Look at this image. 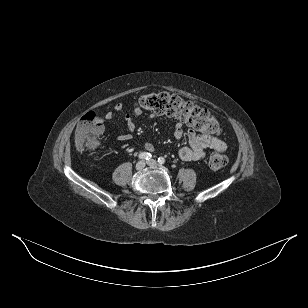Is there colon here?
<instances>
[{"label":"colon","instance_id":"1","mask_svg":"<svg viewBox=\"0 0 308 308\" xmlns=\"http://www.w3.org/2000/svg\"><path fill=\"white\" fill-rule=\"evenodd\" d=\"M138 106L156 115L176 118L207 135H217L221 132L219 122L209 111L173 94L144 95L139 99ZM102 132L103 124L100 118L93 111H89L83 115L76 127L75 143L82 150L95 151L100 145L99 136ZM226 162L225 154L215 150L209 157L208 165L210 169L217 171L222 169Z\"/></svg>","mask_w":308,"mask_h":308}]
</instances>
